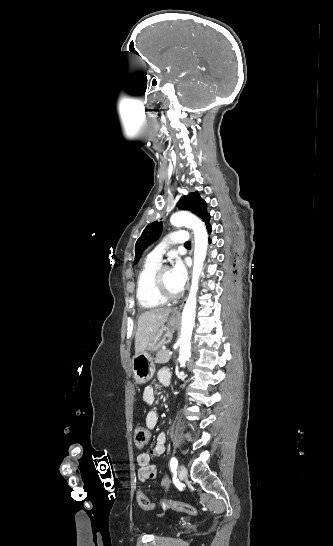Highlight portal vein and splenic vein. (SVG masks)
<instances>
[{"instance_id":"18ae733b","label":"portal vein and splenic vein","mask_w":333,"mask_h":546,"mask_svg":"<svg viewBox=\"0 0 333 546\" xmlns=\"http://www.w3.org/2000/svg\"><path fill=\"white\" fill-rule=\"evenodd\" d=\"M168 354L171 356V355L173 354V352H172V351H169Z\"/></svg>"}]
</instances>
